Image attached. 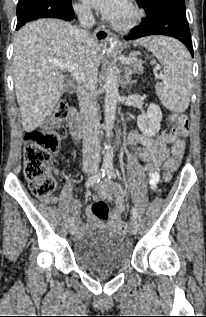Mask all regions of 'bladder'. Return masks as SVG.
Listing matches in <instances>:
<instances>
[{
    "label": "bladder",
    "mask_w": 206,
    "mask_h": 317,
    "mask_svg": "<svg viewBox=\"0 0 206 317\" xmlns=\"http://www.w3.org/2000/svg\"><path fill=\"white\" fill-rule=\"evenodd\" d=\"M132 242L122 234L100 233L87 235L74 244L73 256L86 270H115L129 262Z\"/></svg>",
    "instance_id": "bladder-1"
}]
</instances>
